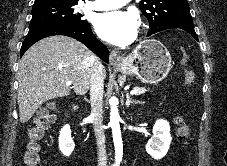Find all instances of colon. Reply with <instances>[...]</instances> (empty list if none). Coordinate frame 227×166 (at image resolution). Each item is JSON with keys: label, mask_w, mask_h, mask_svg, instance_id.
<instances>
[{"label": "colon", "mask_w": 227, "mask_h": 166, "mask_svg": "<svg viewBox=\"0 0 227 166\" xmlns=\"http://www.w3.org/2000/svg\"><path fill=\"white\" fill-rule=\"evenodd\" d=\"M179 62L185 67V79L191 83L194 78V70L190 67V57L186 51H182ZM57 107L54 103H49L41 108L37 118L28 130V140L25 145L24 162L27 166H38L40 164L41 141L49 123L53 120ZM178 135L180 139L188 138V128L184 120L179 117L176 120Z\"/></svg>", "instance_id": "1"}]
</instances>
